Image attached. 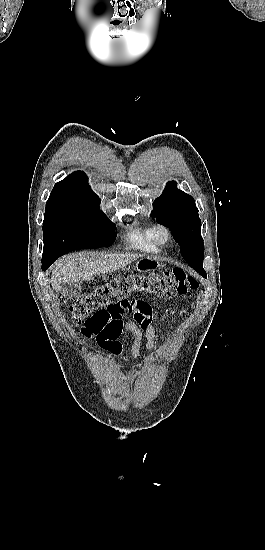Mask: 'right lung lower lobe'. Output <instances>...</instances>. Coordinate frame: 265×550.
<instances>
[{"instance_id": "obj_1", "label": "right lung lower lobe", "mask_w": 265, "mask_h": 550, "mask_svg": "<svg viewBox=\"0 0 265 550\" xmlns=\"http://www.w3.org/2000/svg\"><path fill=\"white\" fill-rule=\"evenodd\" d=\"M52 263L46 260H42V270H46Z\"/></svg>"}]
</instances>
